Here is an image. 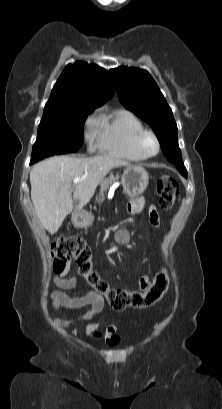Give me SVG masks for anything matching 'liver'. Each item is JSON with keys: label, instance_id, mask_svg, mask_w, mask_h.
I'll return each mask as SVG.
<instances>
[{"label": "liver", "instance_id": "liver-1", "mask_svg": "<svg viewBox=\"0 0 222 409\" xmlns=\"http://www.w3.org/2000/svg\"><path fill=\"white\" fill-rule=\"evenodd\" d=\"M129 163L109 155L87 158L54 156L30 171L31 199L40 223L56 233L73 210L82 209L93 197L103 178L115 167ZM83 178L72 187L74 178ZM73 192V194H72Z\"/></svg>", "mask_w": 222, "mask_h": 409}]
</instances>
